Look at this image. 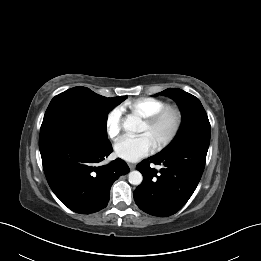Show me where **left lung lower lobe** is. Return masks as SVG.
Returning <instances> with one entry per match:
<instances>
[{
	"mask_svg": "<svg viewBox=\"0 0 261 261\" xmlns=\"http://www.w3.org/2000/svg\"><path fill=\"white\" fill-rule=\"evenodd\" d=\"M208 147L189 144L158 153L137 165L143 182L134 200L144 212L166 217L178 212L195 191L202 176ZM153 164L161 166L160 170Z\"/></svg>",
	"mask_w": 261,
	"mask_h": 261,
	"instance_id": "1",
	"label": "left lung lower lobe"
}]
</instances>
